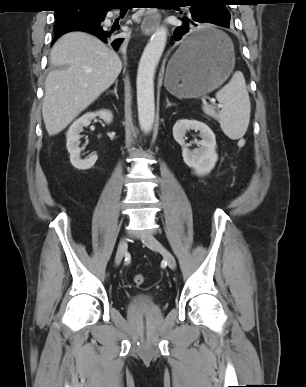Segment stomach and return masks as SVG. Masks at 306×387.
Listing matches in <instances>:
<instances>
[{
	"label": "stomach",
	"instance_id": "stomach-1",
	"mask_svg": "<svg viewBox=\"0 0 306 387\" xmlns=\"http://www.w3.org/2000/svg\"><path fill=\"white\" fill-rule=\"evenodd\" d=\"M211 31L216 39L209 51L186 58L180 47L169 60L164 85L172 95L203 96L219 87L233 71L235 55L231 40L221 31Z\"/></svg>",
	"mask_w": 306,
	"mask_h": 387
}]
</instances>
